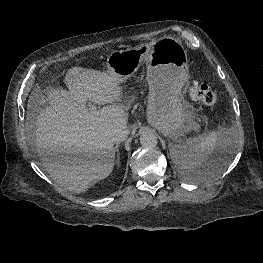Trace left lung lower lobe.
<instances>
[{
    "label": "left lung lower lobe",
    "mask_w": 263,
    "mask_h": 263,
    "mask_svg": "<svg viewBox=\"0 0 263 263\" xmlns=\"http://www.w3.org/2000/svg\"><path fill=\"white\" fill-rule=\"evenodd\" d=\"M218 164H219V162H217L216 160H213L209 164H207L204 168L199 170L198 172L201 175H210V174L215 173L217 171Z\"/></svg>",
    "instance_id": "left-lung-lower-lobe-1"
}]
</instances>
